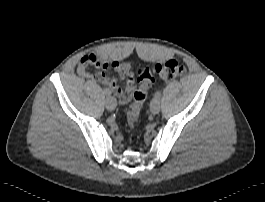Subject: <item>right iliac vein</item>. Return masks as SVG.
<instances>
[{
	"label": "right iliac vein",
	"instance_id": "63e3f726",
	"mask_svg": "<svg viewBox=\"0 0 265 202\" xmlns=\"http://www.w3.org/2000/svg\"><path fill=\"white\" fill-rule=\"evenodd\" d=\"M116 106H117V102H116L115 98L108 97L106 100V108L109 111H113L116 108Z\"/></svg>",
	"mask_w": 265,
	"mask_h": 202
}]
</instances>
